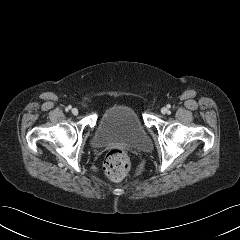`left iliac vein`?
Listing matches in <instances>:
<instances>
[{"instance_id":"obj_1","label":"left iliac vein","mask_w":240,"mask_h":240,"mask_svg":"<svg viewBox=\"0 0 240 240\" xmlns=\"http://www.w3.org/2000/svg\"><path fill=\"white\" fill-rule=\"evenodd\" d=\"M168 112V109L166 108V107H163L162 109H161V113L162 114H166Z\"/></svg>"}]
</instances>
